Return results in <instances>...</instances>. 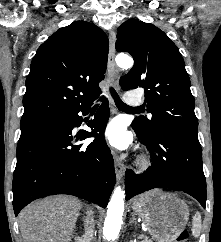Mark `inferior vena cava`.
<instances>
[{
  "label": "inferior vena cava",
  "instance_id": "inferior-vena-cava-1",
  "mask_svg": "<svg viewBox=\"0 0 221 242\" xmlns=\"http://www.w3.org/2000/svg\"><path fill=\"white\" fill-rule=\"evenodd\" d=\"M94 232V216L93 212L89 210L85 219V233L83 235V242H91Z\"/></svg>",
  "mask_w": 221,
  "mask_h": 242
}]
</instances>
